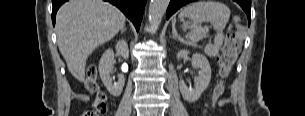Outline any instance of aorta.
I'll list each match as a JSON object with an SVG mask.
<instances>
[{"mask_svg":"<svg viewBox=\"0 0 305 116\" xmlns=\"http://www.w3.org/2000/svg\"><path fill=\"white\" fill-rule=\"evenodd\" d=\"M169 5V0H151L149 5V23L152 28H157Z\"/></svg>","mask_w":305,"mask_h":116,"instance_id":"1","label":"aorta"}]
</instances>
